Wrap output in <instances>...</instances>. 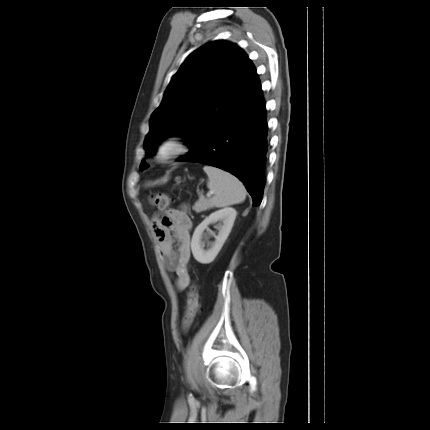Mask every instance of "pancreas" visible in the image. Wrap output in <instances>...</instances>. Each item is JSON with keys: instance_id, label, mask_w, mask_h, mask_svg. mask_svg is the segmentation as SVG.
<instances>
[{"instance_id": "cf45deb5", "label": "pancreas", "mask_w": 430, "mask_h": 430, "mask_svg": "<svg viewBox=\"0 0 430 430\" xmlns=\"http://www.w3.org/2000/svg\"><path fill=\"white\" fill-rule=\"evenodd\" d=\"M211 208V202L209 199H204V198H200V200H198L194 206L192 207V209L197 212H203L205 210H208Z\"/></svg>"}]
</instances>
